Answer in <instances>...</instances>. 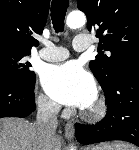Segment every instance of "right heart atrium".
I'll return each instance as SVG.
<instances>
[{
    "instance_id": "obj_1",
    "label": "right heart atrium",
    "mask_w": 139,
    "mask_h": 150,
    "mask_svg": "<svg viewBox=\"0 0 139 150\" xmlns=\"http://www.w3.org/2000/svg\"><path fill=\"white\" fill-rule=\"evenodd\" d=\"M36 102L39 110L43 114L54 115L59 110L58 105L44 94H39Z\"/></svg>"
}]
</instances>
